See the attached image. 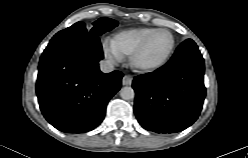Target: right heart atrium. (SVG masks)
<instances>
[{"label": "right heart atrium", "instance_id": "right-heart-atrium-1", "mask_svg": "<svg viewBox=\"0 0 248 158\" xmlns=\"http://www.w3.org/2000/svg\"><path fill=\"white\" fill-rule=\"evenodd\" d=\"M102 47L104 55L109 60L113 62H120L122 60V56L116 51V49L109 41H104Z\"/></svg>", "mask_w": 248, "mask_h": 158}]
</instances>
